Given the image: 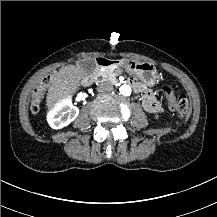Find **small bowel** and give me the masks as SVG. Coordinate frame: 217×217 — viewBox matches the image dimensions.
I'll return each mask as SVG.
<instances>
[{"mask_svg": "<svg viewBox=\"0 0 217 217\" xmlns=\"http://www.w3.org/2000/svg\"><path fill=\"white\" fill-rule=\"evenodd\" d=\"M142 105L144 109L150 113H160L163 111V106L156 100L150 91H145Z\"/></svg>", "mask_w": 217, "mask_h": 217, "instance_id": "c3829d8e", "label": "small bowel"}]
</instances>
